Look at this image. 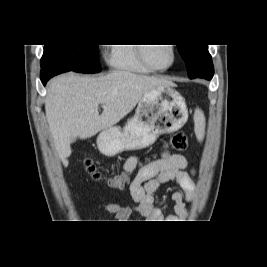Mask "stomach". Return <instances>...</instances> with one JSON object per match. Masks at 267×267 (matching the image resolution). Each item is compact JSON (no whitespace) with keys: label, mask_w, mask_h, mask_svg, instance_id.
<instances>
[{"label":"stomach","mask_w":267,"mask_h":267,"mask_svg":"<svg viewBox=\"0 0 267 267\" xmlns=\"http://www.w3.org/2000/svg\"><path fill=\"white\" fill-rule=\"evenodd\" d=\"M187 119L184 98L171 86L156 88L148 91L138 102L135 115L123 128L104 129L97 137V146L109 157L146 148L161 134L180 129Z\"/></svg>","instance_id":"1"}]
</instances>
